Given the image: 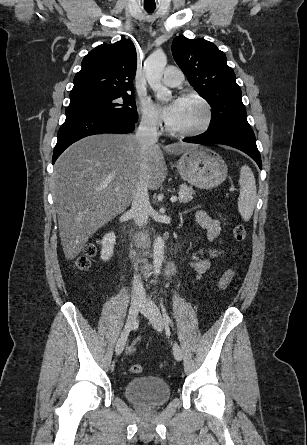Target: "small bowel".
Wrapping results in <instances>:
<instances>
[{
    "instance_id": "obj_1",
    "label": "small bowel",
    "mask_w": 307,
    "mask_h": 445,
    "mask_svg": "<svg viewBox=\"0 0 307 445\" xmlns=\"http://www.w3.org/2000/svg\"><path fill=\"white\" fill-rule=\"evenodd\" d=\"M194 220L196 225L205 231L207 239L210 242L216 245L222 244V241L219 239L221 225L217 219L211 218L203 210H198L195 213ZM226 253L227 251L220 246L208 247L197 251L190 264V268L194 272L196 278H200L210 268L211 259L219 258ZM133 349L134 345L130 347L129 352H132Z\"/></svg>"
}]
</instances>
